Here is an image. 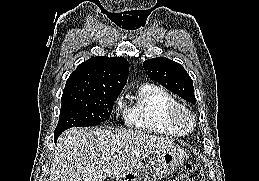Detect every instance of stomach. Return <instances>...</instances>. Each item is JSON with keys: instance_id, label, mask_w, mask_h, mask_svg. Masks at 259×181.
I'll return each mask as SVG.
<instances>
[{"instance_id": "1", "label": "stomach", "mask_w": 259, "mask_h": 181, "mask_svg": "<svg viewBox=\"0 0 259 181\" xmlns=\"http://www.w3.org/2000/svg\"><path fill=\"white\" fill-rule=\"evenodd\" d=\"M185 159L184 150L180 146L172 145L155 152L145 165L139 163L131 170L114 176L111 181H156L175 172Z\"/></svg>"}]
</instances>
